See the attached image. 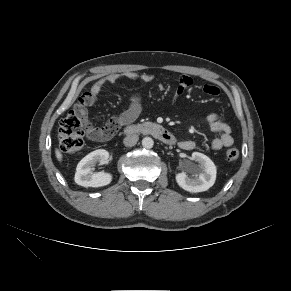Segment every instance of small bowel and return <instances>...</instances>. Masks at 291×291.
<instances>
[{
	"label": "small bowel",
	"instance_id": "small-bowel-1",
	"mask_svg": "<svg viewBox=\"0 0 291 291\" xmlns=\"http://www.w3.org/2000/svg\"><path fill=\"white\" fill-rule=\"evenodd\" d=\"M121 78H127L129 80H141L143 82H152L155 80L153 74H138L136 72H124V73H112L98 79L90 88V94L93 101L97 99L101 89L106 84H111L119 81ZM178 88L174 97L175 101H178L186 92V90L192 86L193 80L186 75H179L177 77ZM203 91L211 96L219 94V88L213 84H205L202 87ZM142 99L139 94H134L130 98V104L127 110H125L119 116L114 119L119 125H125L133 122L141 113ZM208 124L211 130L218 134L211 142V147L214 150H221L224 147H229L233 144L234 140L231 135V128L227 122L219 117L218 114L212 113L207 116ZM89 137L96 141H103L109 139L112 135L108 132L107 125L101 127H91L88 133ZM179 147L183 150H192L195 148V142L192 140H183L179 142Z\"/></svg>",
	"mask_w": 291,
	"mask_h": 291
}]
</instances>
